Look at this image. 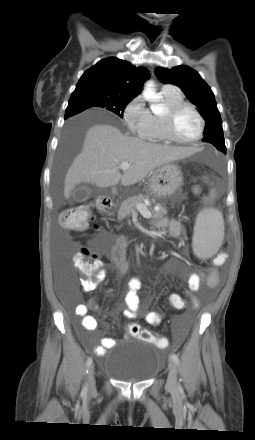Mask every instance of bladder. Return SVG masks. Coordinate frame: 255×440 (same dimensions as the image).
<instances>
[{
	"mask_svg": "<svg viewBox=\"0 0 255 440\" xmlns=\"http://www.w3.org/2000/svg\"><path fill=\"white\" fill-rule=\"evenodd\" d=\"M129 343L126 341L116 346L121 352L110 357L104 370L106 375L126 383H141L154 378L161 364L160 347L146 341Z\"/></svg>",
	"mask_w": 255,
	"mask_h": 440,
	"instance_id": "31cf9c89",
	"label": "bladder"
}]
</instances>
